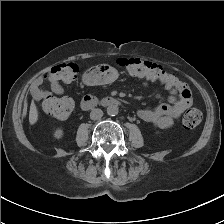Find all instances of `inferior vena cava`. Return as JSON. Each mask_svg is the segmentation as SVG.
<instances>
[{
    "label": "inferior vena cava",
    "instance_id": "1",
    "mask_svg": "<svg viewBox=\"0 0 224 224\" xmlns=\"http://www.w3.org/2000/svg\"><path fill=\"white\" fill-rule=\"evenodd\" d=\"M103 116V111L101 109H93L90 113V118L92 120H98Z\"/></svg>",
    "mask_w": 224,
    "mask_h": 224
}]
</instances>
